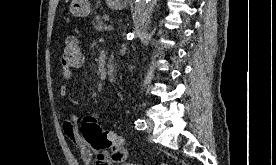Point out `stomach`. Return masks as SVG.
Returning <instances> with one entry per match:
<instances>
[{"label": "stomach", "instance_id": "1", "mask_svg": "<svg viewBox=\"0 0 276 165\" xmlns=\"http://www.w3.org/2000/svg\"><path fill=\"white\" fill-rule=\"evenodd\" d=\"M111 9H123L127 6V0H106ZM90 3L88 0H72L69 12L75 17H86L90 14Z\"/></svg>", "mask_w": 276, "mask_h": 165}]
</instances>
